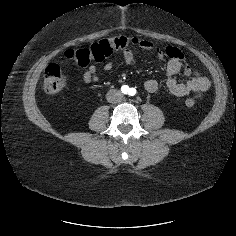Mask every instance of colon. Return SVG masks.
Masks as SVG:
<instances>
[{
  "instance_id": "obj_1",
  "label": "colon",
  "mask_w": 236,
  "mask_h": 236,
  "mask_svg": "<svg viewBox=\"0 0 236 236\" xmlns=\"http://www.w3.org/2000/svg\"><path fill=\"white\" fill-rule=\"evenodd\" d=\"M137 43L136 39L125 36H113L102 39L90 47L79 49H67L63 53V57L77 63L82 67H86L90 62H102L110 56L114 51L124 50L130 45ZM66 84V77L57 64L49 65L44 74V90L49 94L60 92ZM192 99L186 100L187 107H193Z\"/></svg>"
}]
</instances>
